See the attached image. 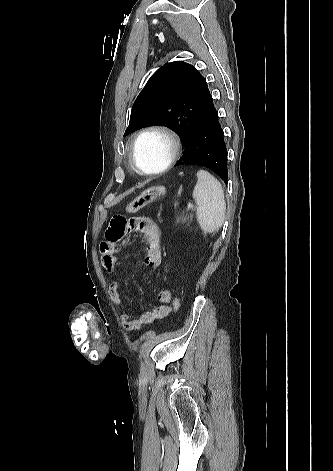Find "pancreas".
<instances>
[{
	"label": "pancreas",
	"mask_w": 333,
	"mask_h": 471,
	"mask_svg": "<svg viewBox=\"0 0 333 471\" xmlns=\"http://www.w3.org/2000/svg\"><path fill=\"white\" fill-rule=\"evenodd\" d=\"M193 216L192 215H187V214H180L176 218V223H181V224H189L192 222Z\"/></svg>",
	"instance_id": "pancreas-1"
}]
</instances>
